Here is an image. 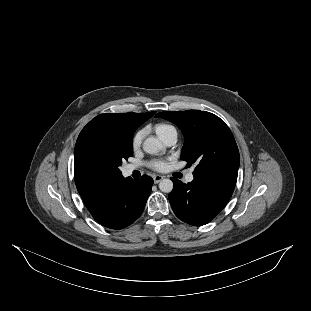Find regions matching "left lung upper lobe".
Instances as JSON below:
<instances>
[{
  "instance_id": "left-lung-upper-lobe-1",
  "label": "left lung upper lobe",
  "mask_w": 311,
  "mask_h": 311,
  "mask_svg": "<svg viewBox=\"0 0 311 311\" xmlns=\"http://www.w3.org/2000/svg\"><path fill=\"white\" fill-rule=\"evenodd\" d=\"M175 123L183 132L181 159L196 163L194 177L238 175L239 151L234 136L218 116L199 110L156 114Z\"/></svg>"
}]
</instances>
